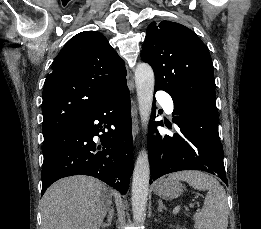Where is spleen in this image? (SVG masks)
Masks as SVG:
<instances>
[{
	"label": "spleen",
	"instance_id": "3e777b00",
	"mask_svg": "<svg viewBox=\"0 0 261 229\" xmlns=\"http://www.w3.org/2000/svg\"><path fill=\"white\" fill-rule=\"evenodd\" d=\"M169 177L176 181H186L193 189L208 191L202 211L194 215L199 229H227L229 209L226 191L217 179L201 171H179L170 173Z\"/></svg>",
	"mask_w": 261,
	"mask_h": 229
}]
</instances>
